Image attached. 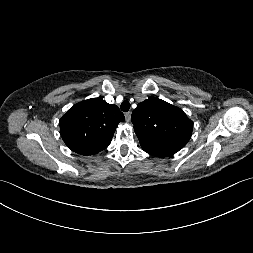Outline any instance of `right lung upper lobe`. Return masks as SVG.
<instances>
[{
    "label": "right lung upper lobe",
    "instance_id": "right-lung-upper-lobe-1",
    "mask_svg": "<svg viewBox=\"0 0 253 253\" xmlns=\"http://www.w3.org/2000/svg\"><path fill=\"white\" fill-rule=\"evenodd\" d=\"M124 120L116 105L101 98L87 99L72 106L60 119V133L72 151L93 155L109 145L117 125Z\"/></svg>",
    "mask_w": 253,
    "mask_h": 253
}]
</instances>
